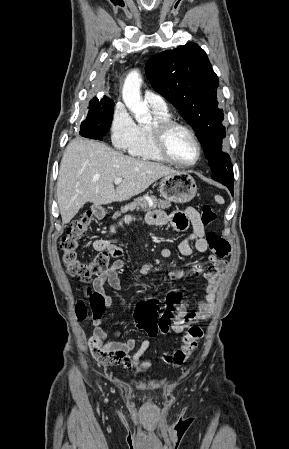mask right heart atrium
Returning <instances> with one entry per match:
<instances>
[{"label": "right heart atrium", "instance_id": "1", "mask_svg": "<svg viewBox=\"0 0 289 449\" xmlns=\"http://www.w3.org/2000/svg\"><path fill=\"white\" fill-rule=\"evenodd\" d=\"M110 132L112 142L118 149L130 151L138 141L139 126L121 103L114 108Z\"/></svg>", "mask_w": 289, "mask_h": 449}]
</instances>
